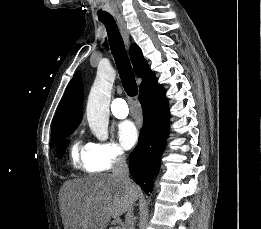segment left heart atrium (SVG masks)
Instances as JSON below:
<instances>
[{
    "label": "left heart atrium",
    "instance_id": "left-heart-atrium-1",
    "mask_svg": "<svg viewBox=\"0 0 261 229\" xmlns=\"http://www.w3.org/2000/svg\"><path fill=\"white\" fill-rule=\"evenodd\" d=\"M138 129L132 121H125L118 126V138L125 149L132 148L138 141Z\"/></svg>",
    "mask_w": 261,
    "mask_h": 229
}]
</instances>
